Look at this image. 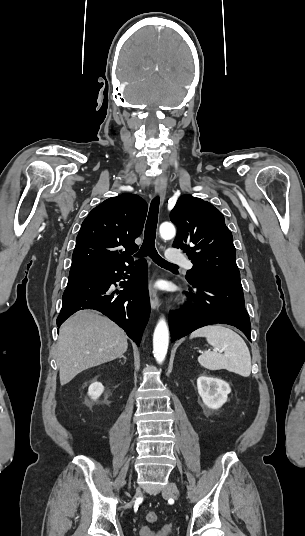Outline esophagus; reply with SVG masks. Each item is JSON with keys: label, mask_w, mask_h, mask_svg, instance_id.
Wrapping results in <instances>:
<instances>
[{"label": "esophagus", "mask_w": 305, "mask_h": 536, "mask_svg": "<svg viewBox=\"0 0 305 536\" xmlns=\"http://www.w3.org/2000/svg\"><path fill=\"white\" fill-rule=\"evenodd\" d=\"M167 177H157L156 183H155V193L157 195H160L161 202L164 201L165 195H166V189H167ZM149 298H150V304L151 308L153 310H156L159 306L158 302V296L156 293V290L152 286V280L149 282Z\"/></svg>", "instance_id": "34e87169"}]
</instances>
